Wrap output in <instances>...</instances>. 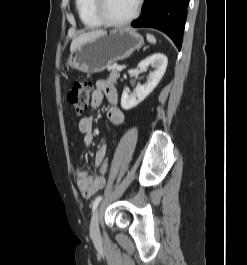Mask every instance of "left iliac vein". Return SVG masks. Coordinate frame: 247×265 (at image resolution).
Instances as JSON below:
<instances>
[{
	"instance_id": "left-iliac-vein-1",
	"label": "left iliac vein",
	"mask_w": 247,
	"mask_h": 265,
	"mask_svg": "<svg viewBox=\"0 0 247 265\" xmlns=\"http://www.w3.org/2000/svg\"><path fill=\"white\" fill-rule=\"evenodd\" d=\"M90 235L92 238H97L99 236V214H98V210L94 212L92 219H91Z\"/></svg>"
}]
</instances>
